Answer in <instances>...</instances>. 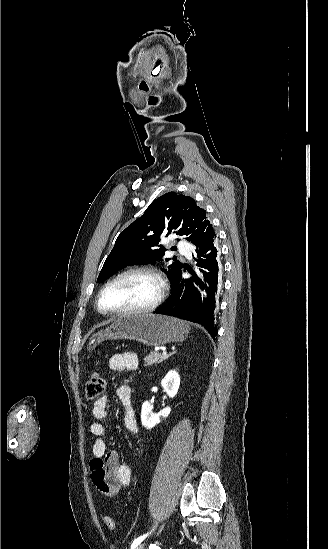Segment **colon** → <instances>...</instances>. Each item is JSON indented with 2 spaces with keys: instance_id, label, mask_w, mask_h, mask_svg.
<instances>
[{
  "instance_id": "5ec220e1",
  "label": "colon",
  "mask_w": 328,
  "mask_h": 549,
  "mask_svg": "<svg viewBox=\"0 0 328 549\" xmlns=\"http://www.w3.org/2000/svg\"><path fill=\"white\" fill-rule=\"evenodd\" d=\"M105 390V380L98 372H93L85 385V395L87 400L93 401L101 397ZM104 523L109 530H114L116 527L115 520L112 516H105Z\"/></svg>"
}]
</instances>
